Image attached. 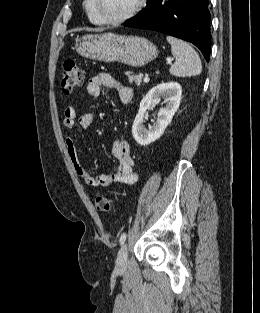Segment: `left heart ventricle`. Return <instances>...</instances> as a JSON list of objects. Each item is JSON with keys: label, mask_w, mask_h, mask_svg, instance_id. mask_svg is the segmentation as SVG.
Here are the masks:
<instances>
[{"label": "left heart ventricle", "mask_w": 260, "mask_h": 313, "mask_svg": "<svg viewBox=\"0 0 260 313\" xmlns=\"http://www.w3.org/2000/svg\"><path fill=\"white\" fill-rule=\"evenodd\" d=\"M136 0H99L102 13L109 18H118L128 13Z\"/></svg>", "instance_id": "left-heart-ventricle-1"}]
</instances>
